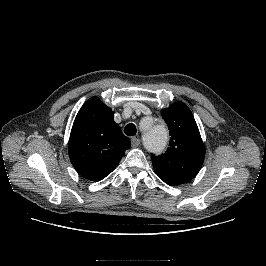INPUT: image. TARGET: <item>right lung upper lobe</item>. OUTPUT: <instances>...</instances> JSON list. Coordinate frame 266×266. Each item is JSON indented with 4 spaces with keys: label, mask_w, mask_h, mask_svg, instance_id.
Here are the masks:
<instances>
[{
    "label": "right lung upper lobe",
    "mask_w": 266,
    "mask_h": 266,
    "mask_svg": "<svg viewBox=\"0 0 266 266\" xmlns=\"http://www.w3.org/2000/svg\"><path fill=\"white\" fill-rule=\"evenodd\" d=\"M130 146L112 110L97 97L88 99L75 118L68 143L76 171L88 180L100 181L115 169Z\"/></svg>",
    "instance_id": "cb5924a9"
}]
</instances>
